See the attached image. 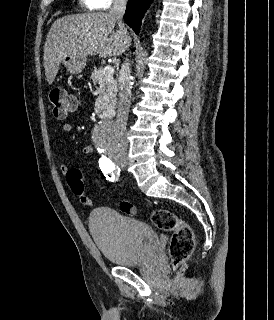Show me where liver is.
<instances>
[{
    "label": "liver",
    "instance_id": "1",
    "mask_svg": "<svg viewBox=\"0 0 274 320\" xmlns=\"http://www.w3.org/2000/svg\"><path fill=\"white\" fill-rule=\"evenodd\" d=\"M116 22L107 12L64 16L52 24L44 44V68L48 84H53L65 56L74 58H116L125 48L114 32Z\"/></svg>",
    "mask_w": 274,
    "mask_h": 320
}]
</instances>
